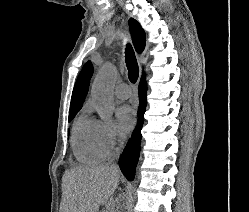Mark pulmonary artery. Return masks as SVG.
<instances>
[{"instance_id": "e3ab8cb5", "label": "pulmonary artery", "mask_w": 249, "mask_h": 212, "mask_svg": "<svg viewBox=\"0 0 249 212\" xmlns=\"http://www.w3.org/2000/svg\"><path fill=\"white\" fill-rule=\"evenodd\" d=\"M115 96L121 100H126L131 96V89L128 84L120 83L115 87Z\"/></svg>"}]
</instances>
